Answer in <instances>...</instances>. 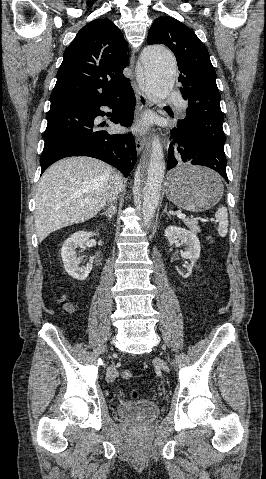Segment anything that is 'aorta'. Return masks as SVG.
I'll use <instances>...</instances> for the list:
<instances>
[{
  "label": "aorta",
  "instance_id": "1",
  "mask_svg": "<svg viewBox=\"0 0 266 479\" xmlns=\"http://www.w3.org/2000/svg\"><path fill=\"white\" fill-rule=\"evenodd\" d=\"M140 68L148 98L154 102L164 100L175 81L176 61L173 54L160 45L147 46L141 55ZM165 168L162 146L158 139H154L149 162L144 169L139 170L135 182L136 200L139 197L141 199L146 226L154 218L159 204Z\"/></svg>",
  "mask_w": 266,
  "mask_h": 479
}]
</instances>
